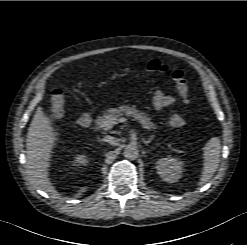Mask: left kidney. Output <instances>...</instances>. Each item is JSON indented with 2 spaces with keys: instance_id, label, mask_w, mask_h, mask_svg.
I'll list each match as a JSON object with an SVG mask.
<instances>
[{
  "instance_id": "left-kidney-1",
  "label": "left kidney",
  "mask_w": 247,
  "mask_h": 245,
  "mask_svg": "<svg viewBox=\"0 0 247 245\" xmlns=\"http://www.w3.org/2000/svg\"><path fill=\"white\" fill-rule=\"evenodd\" d=\"M183 163L172 156L159 159L157 161V173L158 175L168 183L177 182L182 175Z\"/></svg>"
}]
</instances>
